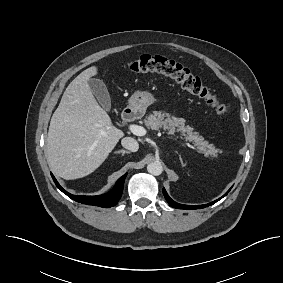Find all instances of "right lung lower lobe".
<instances>
[{
	"label": "right lung lower lobe",
	"instance_id": "1",
	"mask_svg": "<svg viewBox=\"0 0 283 283\" xmlns=\"http://www.w3.org/2000/svg\"><path fill=\"white\" fill-rule=\"evenodd\" d=\"M126 174H124L121 178L118 179L116 182L115 186L112 188L111 191H109L106 194L103 195H98V196H78V195H73L65 191L57 182L55 177L51 174L56 186L68 197L71 199L83 203V204H88V205H95V206H100L103 208H108L115 206L119 199L122 196L123 192V186H124V181L126 178Z\"/></svg>",
	"mask_w": 283,
	"mask_h": 283
}]
</instances>
